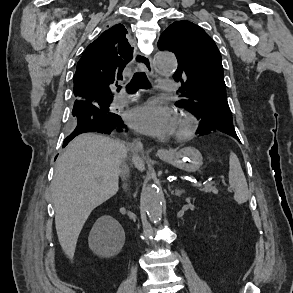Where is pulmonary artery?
Masks as SVG:
<instances>
[{
    "mask_svg": "<svg viewBox=\"0 0 293 293\" xmlns=\"http://www.w3.org/2000/svg\"><path fill=\"white\" fill-rule=\"evenodd\" d=\"M177 83L173 80L161 79L159 81V88L162 91H174L177 89ZM134 99L133 96H128L125 93L121 92L119 96H117L116 103L119 105L126 104Z\"/></svg>",
    "mask_w": 293,
    "mask_h": 293,
    "instance_id": "e3ab8cb5",
    "label": "pulmonary artery"
}]
</instances>
